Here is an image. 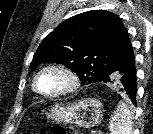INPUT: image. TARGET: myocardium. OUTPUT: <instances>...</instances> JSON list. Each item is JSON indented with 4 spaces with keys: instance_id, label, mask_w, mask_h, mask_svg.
Listing matches in <instances>:
<instances>
[{
    "instance_id": "obj_1",
    "label": "myocardium",
    "mask_w": 153,
    "mask_h": 134,
    "mask_svg": "<svg viewBox=\"0 0 153 134\" xmlns=\"http://www.w3.org/2000/svg\"><path fill=\"white\" fill-rule=\"evenodd\" d=\"M57 72L61 74L65 79H66V86L62 88L59 91H56L54 93H44L41 92L38 88V79L39 77L45 73V72ZM33 89L34 91L39 94L42 97L49 98V99H54V98H59L68 94L73 93L76 91L79 86H80V78L78 74L71 69L70 67L64 65V64H59V63H51L43 66L34 76L33 78Z\"/></svg>"
}]
</instances>
